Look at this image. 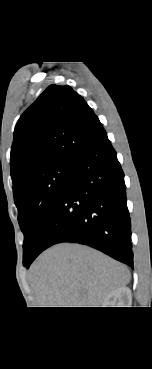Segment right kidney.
Returning a JSON list of instances; mask_svg holds the SVG:
<instances>
[{
	"mask_svg": "<svg viewBox=\"0 0 152 369\" xmlns=\"http://www.w3.org/2000/svg\"><path fill=\"white\" fill-rule=\"evenodd\" d=\"M131 299V290L128 287H121L113 290L104 299L103 307H126Z\"/></svg>",
	"mask_w": 152,
	"mask_h": 369,
	"instance_id": "1",
	"label": "right kidney"
}]
</instances>
